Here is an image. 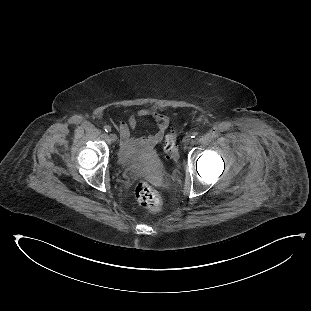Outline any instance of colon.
I'll list each match as a JSON object with an SVG mask.
<instances>
[{
  "instance_id": "5ec220e1",
  "label": "colon",
  "mask_w": 311,
  "mask_h": 311,
  "mask_svg": "<svg viewBox=\"0 0 311 311\" xmlns=\"http://www.w3.org/2000/svg\"><path fill=\"white\" fill-rule=\"evenodd\" d=\"M177 134L174 127L166 133L163 145L165 157L170 160L177 153ZM135 197L140 206L152 211L161 210L163 201L158 191L146 180H139L135 185Z\"/></svg>"
}]
</instances>
